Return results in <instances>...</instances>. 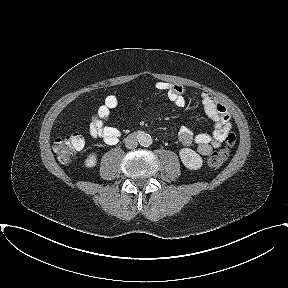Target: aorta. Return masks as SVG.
Wrapping results in <instances>:
<instances>
[{
	"label": "aorta",
	"instance_id": "aorta-1",
	"mask_svg": "<svg viewBox=\"0 0 288 288\" xmlns=\"http://www.w3.org/2000/svg\"><path fill=\"white\" fill-rule=\"evenodd\" d=\"M139 143L142 146L148 147L153 143V139L149 134L144 133L139 137Z\"/></svg>",
	"mask_w": 288,
	"mask_h": 288
}]
</instances>
